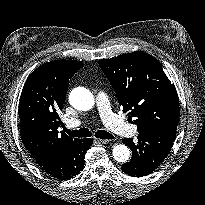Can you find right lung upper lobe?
<instances>
[{
	"mask_svg": "<svg viewBox=\"0 0 205 205\" xmlns=\"http://www.w3.org/2000/svg\"><path fill=\"white\" fill-rule=\"evenodd\" d=\"M84 64L57 60L39 66L26 80L20 101V135L38 165L54 159L80 139L70 138L58 128L69 80Z\"/></svg>",
	"mask_w": 205,
	"mask_h": 205,
	"instance_id": "right-lung-upper-lobe-1",
	"label": "right lung upper lobe"
}]
</instances>
